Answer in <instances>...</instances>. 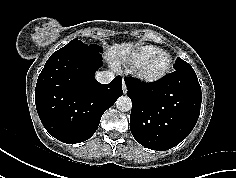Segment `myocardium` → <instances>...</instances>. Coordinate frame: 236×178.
<instances>
[{
    "label": "myocardium",
    "mask_w": 236,
    "mask_h": 178,
    "mask_svg": "<svg viewBox=\"0 0 236 178\" xmlns=\"http://www.w3.org/2000/svg\"><path fill=\"white\" fill-rule=\"evenodd\" d=\"M163 56L168 58V64H167L166 68L163 71H161L160 73H157V74L151 73L149 71V67H150L151 63L155 59H157L159 57H163ZM171 68H172L171 56L167 52L162 51V52L155 54L152 57H149V58L145 59L144 61L138 63L135 67L134 74H135V77L139 81L146 83V84H153V83H157V82L161 81L162 79H164L171 71Z\"/></svg>",
    "instance_id": "f54148a6"
}]
</instances>
